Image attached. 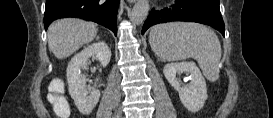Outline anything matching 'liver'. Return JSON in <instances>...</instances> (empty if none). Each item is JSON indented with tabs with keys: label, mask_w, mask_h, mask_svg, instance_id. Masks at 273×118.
Wrapping results in <instances>:
<instances>
[{
	"label": "liver",
	"mask_w": 273,
	"mask_h": 118,
	"mask_svg": "<svg viewBox=\"0 0 273 118\" xmlns=\"http://www.w3.org/2000/svg\"><path fill=\"white\" fill-rule=\"evenodd\" d=\"M98 29L92 22L66 18L52 23L48 28V47L58 59H64L84 44L92 42Z\"/></svg>",
	"instance_id": "6515ba94"
}]
</instances>
